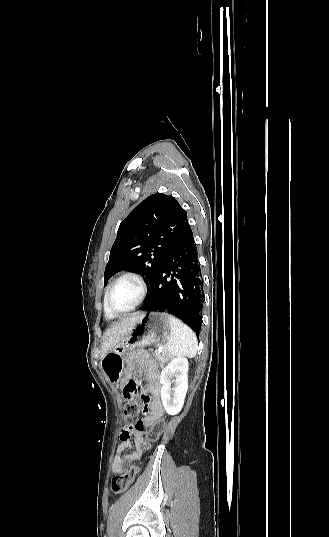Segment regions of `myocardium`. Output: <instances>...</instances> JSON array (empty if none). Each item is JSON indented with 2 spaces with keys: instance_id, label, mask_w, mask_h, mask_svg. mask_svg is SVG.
Listing matches in <instances>:
<instances>
[{
  "instance_id": "obj_1",
  "label": "myocardium",
  "mask_w": 329,
  "mask_h": 537,
  "mask_svg": "<svg viewBox=\"0 0 329 537\" xmlns=\"http://www.w3.org/2000/svg\"><path fill=\"white\" fill-rule=\"evenodd\" d=\"M134 279L135 281H137V283L139 284L140 286V289H141V294H140V297L139 299L136 301V303L129 309L125 310V311H116L115 309H113L112 305H111V293L112 291L114 290V288L116 287V285L124 280V279ZM147 291H148V286H147V282L146 280L144 279V277L137 273V272H133V271H128V272H125L123 274H121L120 276H118L112 283L111 285L109 286V288L107 289V292H106V297H105V302H106V307L107 309L113 314V315H123V314H126L128 312H131L133 311L135 308H137L142 302L143 300L145 299L146 297V294H147Z\"/></svg>"
}]
</instances>
